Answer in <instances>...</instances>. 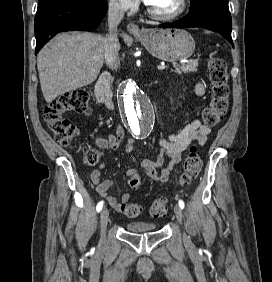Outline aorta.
Masks as SVG:
<instances>
[{"label": "aorta", "instance_id": "aorta-1", "mask_svg": "<svg viewBox=\"0 0 272 282\" xmlns=\"http://www.w3.org/2000/svg\"><path fill=\"white\" fill-rule=\"evenodd\" d=\"M124 121L137 137L147 136L155 120L154 108L142 87L134 80L125 81L119 91Z\"/></svg>", "mask_w": 272, "mask_h": 282}]
</instances>
